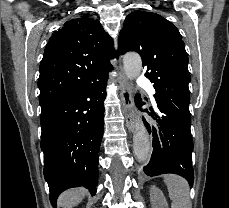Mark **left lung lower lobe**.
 Returning a JSON list of instances; mask_svg holds the SVG:
<instances>
[{
  "label": "left lung lower lobe",
  "mask_w": 229,
  "mask_h": 208,
  "mask_svg": "<svg viewBox=\"0 0 229 208\" xmlns=\"http://www.w3.org/2000/svg\"><path fill=\"white\" fill-rule=\"evenodd\" d=\"M136 105L142 106L144 102L137 97ZM144 111L156 120L159 129L157 133L156 128L153 127V153L149 164L143 168L144 172L148 176L165 173L178 174L184 177L192 187L194 171L190 115L174 111L159 103L155 111L151 107ZM145 124L151 133L149 124L146 121Z\"/></svg>",
  "instance_id": "left-lung-lower-lobe-1"
}]
</instances>
